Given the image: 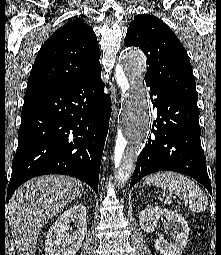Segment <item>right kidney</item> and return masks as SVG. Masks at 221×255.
Returning a JSON list of instances; mask_svg holds the SVG:
<instances>
[{
    "label": "right kidney",
    "instance_id": "right-kidney-1",
    "mask_svg": "<svg viewBox=\"0 0 221 255\" xmlns=\"http://www.w3.org/2000/svg\"><path fill=\"white\" fill-rule=\"evenodd\" d=\"M77 224V230L69 234L70 223ZM87 232L86 207L76 204L59 215L48 230L45 241V255H76Z\"/></svg>",
    "mask_w": 221,
    "mask_h": 255
}]
</instances>
